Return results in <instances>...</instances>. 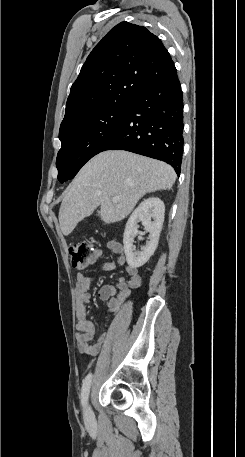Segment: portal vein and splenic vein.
I'll return each instance as SVG.
<instances>
[{
	"label": "portal vein and splenic vein",
	"instance_id": "18ae733b",
	"mask_svg": "<svg viewBox=\"0 0 245 457\" xmlns=\"http://www.w3.org/2000/svg\"><path fill=\"white\" fill-rule=\"evenodd\" d=\"M112 200L113 202H119L120 198L119 196H113Z\"/></svg>",
	"mask_w": 245,
	"mask_h": 457
}]
</instances>
